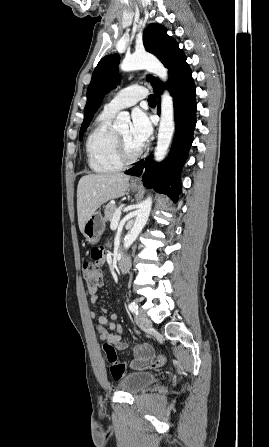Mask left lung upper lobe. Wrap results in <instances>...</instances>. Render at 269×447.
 Segmentation results:
<instances>
[{
	"mask_svg": "<svg viewBox=\"0 0 269 447\" xmlns=\"http://www.w3.org/2000/svg\"><path fill=\"white\" fill-rule=\"evenodd\" d=\"M166 28L159 24H150L144 31L143 43L145 49L154 54L168 68L170 74L182 50L178 43L166 34ZM119 57L116 54L105 56L95 68L87 90L84 121L80 128V140L89 126L94 113L102 103L104 95L119 83ZM154 89L162 85L159 79L148 76Z\"/></svg>",
	"mask_w": 269,
	"mask_h": 447,
	"instance_id": "left-lung-upper-lobe-1",
	"label": "left lung upper lobe"
}]
</instances>
